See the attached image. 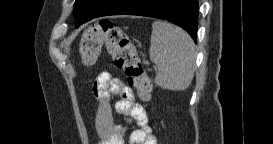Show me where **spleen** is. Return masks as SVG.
I'll return each instance as SVG.
<instances>
[{
	"label": "spleen",
	"instance_id": "obj_1",
	"mask_svg": "<svg viewBox=\"0 0 273 144\" xmlns=\"http://www.w3.org/2000/svg\"><path fill=\"white\" fill-rule=\"evenodd\" d=\"M149 55L158 66L154 79L157 86L173 91H183L190 86L195 45L186 31L165 21H154Z\"/></svg>",
	"mask_w": 273,
	"mask_h": 144
}]
</instances>
